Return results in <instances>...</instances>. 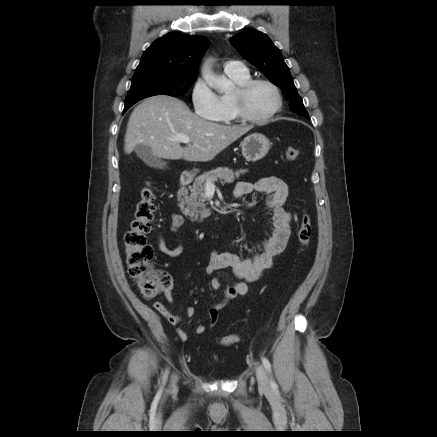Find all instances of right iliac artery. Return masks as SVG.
Masks as SVG:
<instances>
[{
    "mask_svg": "<svg viewBox=\"0 0 437 437\" xmlns=\"http://www.w3.org/2000/svg\"><path fill=\"white\" fill-rule=\"evenodd\" d=\"M167 375H168V371H166L165 374L163 375V384L166 382Z\"/></svg>",
    "mask_w": 437,
    "mask_h": 437,
    "instance_id": "82829eb1",
    "label": "right iliac artery"
}]
</instances>
